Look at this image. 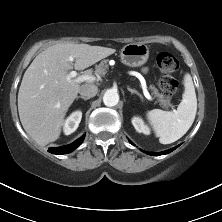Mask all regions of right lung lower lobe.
Returning a JSON list of instances; mask_svg holds the SVG:
<instances>
[{"label":"right lung lower lobe","instance_id":"obj_1","mask_svg":"<svg viewBox=\"0 0 222 222\" xmlns=\"http://www.w3.org/2000/svg\"><path fill=\"white\" fill-rule=\"evenodd\" d=\"M84 136L81 138L77 139L75 142L62 146V147H51L48 149V152L53 153V154H67L76 149L83 141Z\"/></svg>","mask_w":222,"mask_h":222}]
</instances>
